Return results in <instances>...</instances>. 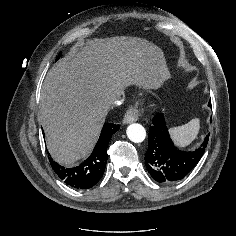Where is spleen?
Instances as JSON below:
<instances>
[{
    "label": "spleen",
    "mask_w": 236,
    "mask_h": 236,
    "mask_svg": "<svg viewBox=\"0 0 236 236\" xmlns=\"http://www.w3.org/2000/svg\"><path fill=\"white\" fill-rule=\"evenodd\" d=\"M199 129L200 120L195 118L185 125L171 128L169 132L176 144L181 147H186L196 139Z\"/></svg>",
    "instance_id": "obj_1"
}]
</instances>
